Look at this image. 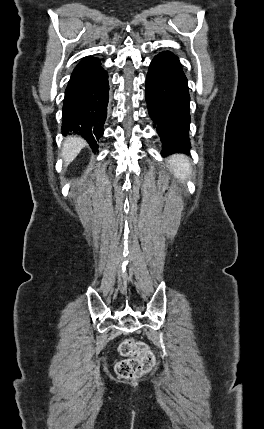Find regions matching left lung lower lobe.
I'll use <instances>...</instances> for the list:
<instances>
[{
    "label": "left lung lower lobe",
    "instance_id": "obj_1",
    "mask_svg": "<svg viewBox=\"0 0 264 429\" xmlns=\"http://www.w3.org/2000/svg\"><path fill=\"white\" fill-rule=\"evenodd\" d=\"M145 94L149 115L163 143L162 154L188 153L190 97L177 56L164 51L154 57L146 78Z\"/></svg>",
    "mask_w": 264,
    "mask_h": 429
}]
</instances>
